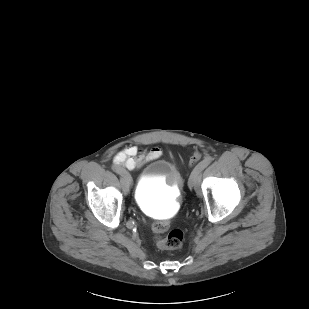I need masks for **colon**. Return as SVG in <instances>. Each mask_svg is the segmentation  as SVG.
<instances>
[{
  "label": "colon",
  "instance_id": "colon-1",
  "mask_svg": "<svg viewBox=\"0 0 309 309\" xmlns=\"http://www.w3.org/2000/svg\"><path fill=\"white\" fill-rule=\"evenodd\" d=\"M201 159V153L195 152L190 160V168H195ZM170 223L168 220H159L152 226L155 242L158 248L162 250H173L179 248L184 240V233L180 229H173L164 235L169 229Z\"/></svg>",
  "mask_w": 309,
  "mask_h": 309
}]
</instances>
